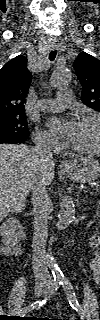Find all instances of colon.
<instances>
[{
	"instance_id": "obj_1",
	"label": "colon",
	"mask_w": 100,
	"mask_h": 320,
	"mask_svg": "<svg viewBox=\"0 0 100 320\" xmlns=\"http://www.w3.org/2000/svg\"><path fill=\"white\" fill-rule=\"evenodd\" d=\"M99 243H100V241H99V238H98L97 236H94V237L91 239V245H92L93 247L99 246Z\"/></svg>"
}]
</instances>
